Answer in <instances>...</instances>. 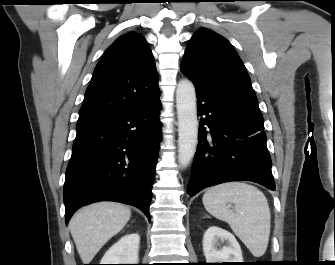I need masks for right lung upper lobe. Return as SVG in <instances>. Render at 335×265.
Here are the masks:
<instances>
[{
    "mask_svg": "<svg viewBox=\"0 0 335 265\" xmlns=\"http://www.w3.org/2000/svg\"><path fill=\"white\" fill-rule=\"evenodd\" d=\"M154 58L145 38L130 32L104 52L86 90L79 122L110 117L159 98Z\"/></svg>",
    "mask_w": 335,
    "mask_h": 265,
    "instance_id": "right-lung-upper-lobe-1",
    "label": "right lung upper lobe"
}]
</instances>
